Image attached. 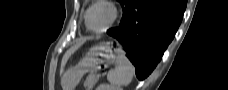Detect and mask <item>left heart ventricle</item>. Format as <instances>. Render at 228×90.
Here are the masks:
<instances>
[{"label":"left heart ventricle","mask_w":228,"mask_h":90,"mask_svg":"<svg viewBox=\"0 0 228 90\" xmlns=\"http://www.w3.org/2000/svg\"><path fill=\"white\" fill-rule=\"evenodd\" d=\"M111 17L110 10L105 6L93 8L89 16V25L94 30H100L107 25Z\"/></svg>","instance_id":"b2bd125f"}]
</instances>
